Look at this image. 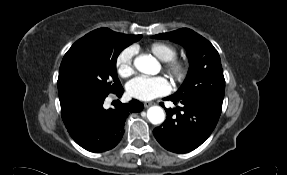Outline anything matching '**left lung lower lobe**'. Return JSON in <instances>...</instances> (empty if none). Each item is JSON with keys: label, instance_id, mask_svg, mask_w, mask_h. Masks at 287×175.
<instances>
[{"label": "left lung lower lobe", "instance_id": "0a47b994", "mask_svg": "<svg viewBox=\"0 0 287 175\" xmlns=\"http://www.w3.org/2000/svg\"><path fill=\"white\" fill-rule=\"evenodd\" d=\"M164 100L183 106L177 107L179 111L165 109L166 121L153 134L162 147L175 153H187L200 146L214 130L221 114V110L200 100L177 99L172 95Z\"/></svg>", "mask_w": 287, "mask_h": 175}]
</instances>
